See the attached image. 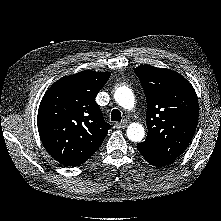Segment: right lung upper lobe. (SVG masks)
<instances>
[{
    "label": "right lung upper lobe",
    "instance_id": "obj_1",
    "mask_svg": "<svg viewBox=\"0 0 221 221\" xmlns=\"http://www.w3.org/2000/svg\"><path fill=\"white\" fill-rule=\"evenodd\" d=\"M109 72L85 70L57 80L39 106L37 124L41 141L59 163H85L101 146L110 124L95 101Z\"/></svg>",
    "mask_w": 221,
    "mask_h": 221
}]
</instances>
